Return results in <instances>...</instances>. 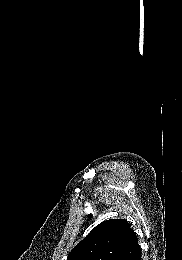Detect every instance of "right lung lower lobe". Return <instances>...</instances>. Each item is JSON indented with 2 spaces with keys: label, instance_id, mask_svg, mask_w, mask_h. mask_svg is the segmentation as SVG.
Returning <instances> with one entry per match:
<instances>
[{
  "label": "right lung lower lobe",
  "instance_id": "obj_1",
  "mask_svg": "<svg viewBox=\"0 0 182 260\" xmlns=\"http://www.w3.org/2000/svg\"><path fill=\"white\" fill-rule=\"evenodd\" d=\"M133 260H141V252Z\"/></svg>",
  "mask_w": 182,
  "mask_h": 260
}]
</instances>
